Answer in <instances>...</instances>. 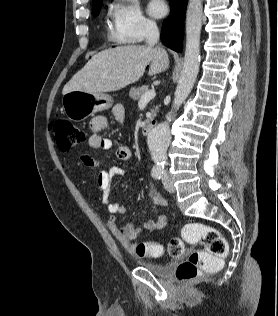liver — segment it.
Masks as SVG:
<instances>
[{
	"mask_svg": "<svg viewBox=\"0 0 278 316\" xmlns=\"http://www.w3.org/2000/svg\"><path fill=\"white\" fill-rule=\"evenodd\" d=\"M149 65L150 76L169 67V57L161 46L128 45L95 54L64 86L62 93L118 91L138 81Z\"/></svg>",
	"mask_w": 278,
	"mask_h": 316,
	"instance_id": "6515ba94",
	"label": "liver"
}]
</instances>
